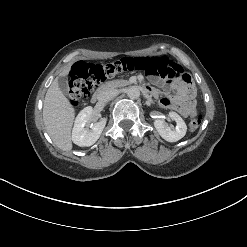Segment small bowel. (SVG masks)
<instances>
[{
    "instance_id": "obj_1",
    "label": "small bowel",
    "mask_w": 247,
    "mask_h": 247,
    "mask_svg": "<svg viewBox=\"0 0 247 247\" xmlns=\"http://www.w3.org/2000/svg\"><path fill=\"white\" fill-rule=\"evenodd\" d=\"M173 64L174 70L164 62L152 63L146 66L142 72L155 85H169L173 94L160 98L159 104L162 107L172 109L182 116L189 117L190 115L195 114L196 111L194 89L189 83L173 76L175 71L184 73L179 64L176 62H173ZM149 90L153 96H159L157 90L151 88H149Z\"/></svg>"
}]
</instances>
